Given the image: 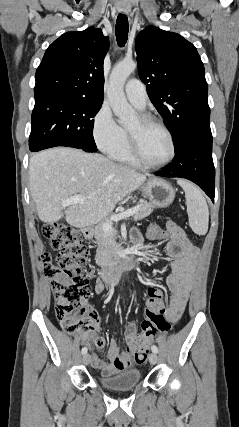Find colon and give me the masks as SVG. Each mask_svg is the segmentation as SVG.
Returning <instances> with one entry per match:
<instances>
[{
  "mask_svg": "<svg viewBox=\"0 0 239 427\" xmlns=\"http://www.w3.org/2000/svg\"><path fill=\"white\" fill-rule=\"evenodd\" d=\"M42 232L50 247L58 251L55 262L49 253L41 255L44 273L51 280L56 317L65 332L85 337L94 325L87 308L92 275L91 268L87 266L88 249L81 234L67 224L48 223L43 226ZM147 236L150 244H167L169 240L160 222H151ZM165 294L158 284H149L145 288V319L132 347L137 363L146 359L150 343L170 329L165 318Z\"/></svg>",
  "mask_w": 239,
  "mask_h": 427,
  "instance_id": "5ec220e1",
  "label": "colon"
}]
</instances>
